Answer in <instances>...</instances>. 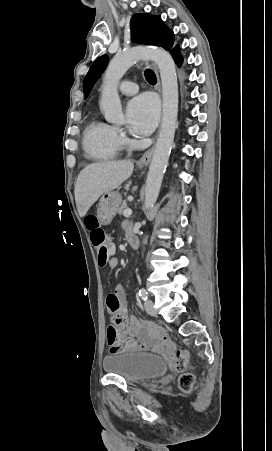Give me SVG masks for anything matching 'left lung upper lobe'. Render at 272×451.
I'll return each instance as SVG.
<instances>
[{"instance_id": "obj_1", "label": "left lung upper lobe", "mask_w": 272, "mask_h": 451, "mask_svg": "<svg viewBox=\"0 0 272 451\" xmlns=\"http://www.w3.org/2000/svg\"><path fill=\"white\" fill-rule=\"evenodd\" d=\"M131 39L136 43L155 45L163 47L165 50H172L174 33L164 24L160 16L139 13L131 18ZM107 63L108 56L102 55L90 67L83 83L85 98L88 96L93 83L106 68Z\"/></svg>"}]
</instances>
